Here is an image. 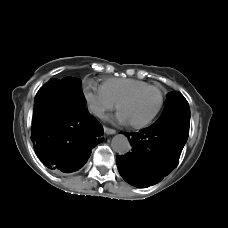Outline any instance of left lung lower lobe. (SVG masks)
<instances>
[{"mask_svg":"<svg viewBox=\"0 0 228 228\" xmlns=\"http://www.w3.org/2000/svg\"><path fill=\"white\" fill-rule=\"evenodd\" d=\"M180 125L155 122L138 133H125L133 148L125 156L116 157L121 176L141 188L161 181L177 166L187 141L189 125Z\"/></svg>","mask_w":228,"mask_h":228,"instance_id":"obj_1","label":"left lung lower lobe"}]
</instances>
